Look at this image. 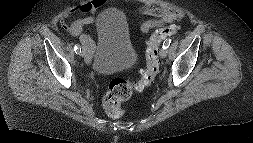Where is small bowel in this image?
Listing matches in <instances>:
<instances>
[{
  "mask_svg": "<svg viewBox=\"0 0 253 143\" xmlns=\"http://www.w3.org/2000/svg\"><path fill=\"white\" fill-rule=\"evenodd\" d=\"M105 2L106 0H91L84 4H80L71 9L67 13L66 18L73 19L77 15H80V17L70 22L66 20L62 21L63 27L72 36L79 39L82 46L89 48V50L93 47V41L84 33V28L93 24L94 13L100 9ZM139 10L142 14L155 18L153 20H147L141 25V31L144 33L154 28L180 21L184 16L183 11L176 6L142 5Z\"/></svg>",
  "mask_w": 253,
  "mask_h": 143,
  "instance_id": "obj_1",
  "label": "small bowel"
}]
</instances>
